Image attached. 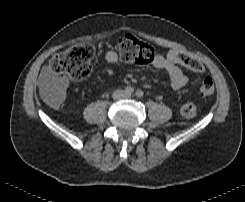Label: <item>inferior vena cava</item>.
<instances>
[{
	"label": "inferior vena cava",
	"instance_id": "obj_1",
	"mask_svg": "<svg viewBox=\"0 0 245 202\" xmlns=\"http://www.w3.org/2000/svg\"><path fill=\"white\" fill-rule=\"evenodd\" d=\"M118 93H119V91L114 92V94H113V98L114 99H118L119 98Z\"/></svg>",
	"mask_w": 245,
	"mask_h": 202
}]
</instances>
